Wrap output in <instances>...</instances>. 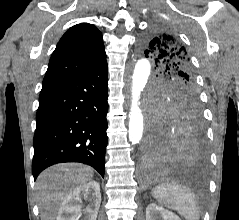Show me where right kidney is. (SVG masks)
I'll return each instance as SVG.
<instances>
[{
  "label": "right kidney",
  "mask_w": 239,
  "mask_h": 220,
  "mask_svg": "<svg viewBox=\"0 0 239 220\" xmlns=\"http://www.w3.org/2000/svg\"><path fill=\"white\" fill-rule=\"evenodd\" d=\"M82 199L89 202L83 209L82 220H96L101 203L100 185L96 181H90L73 189L63 200L56 220H78Z\"/></svg>",
  "instance_id": "obj_1"
}]
</instances>
